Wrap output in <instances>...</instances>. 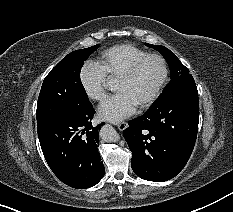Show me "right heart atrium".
Returning <instances> with one entry per match:
<instances>
[{"label":"right heart atrium","mask_w":233,"mask_h":212,"mask_svg":"<svg viewBox=\"0 0 233 212\" xmlns=\"http://www.w3.org/2000/svg\"><path fill=\"white\" fill-rule=\"evenodd\" d=\"M79 81L89 99L101 101L105 98L107 77L96 63L86 62L81 67Z\"/></svg>","instance_id":"d8ad5b80"}]
</instances>
